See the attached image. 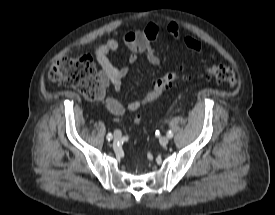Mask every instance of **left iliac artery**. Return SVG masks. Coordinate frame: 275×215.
Masks as SVG:
<instances>
[{
	"label": "left iliac artery",
	"mask_w": 275,
	"mask_h": 215,
	"mask_svg": "<svg viewBox=\"0 0 275 215\" xmlns=\"http://www.w3.org/2000/svg\"><path fill=\"white\" fill-rule=\"evenodd\" d=\"M167 137L172 138L173 137V132L172 131H168L167 132Z\"/></svg>",
	"instance_id": "1"
}]
</instances>
